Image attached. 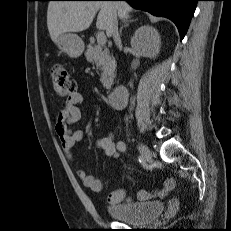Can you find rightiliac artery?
<instances>
[{
    "mask_svg": "<svg viewBox=\"0 0 231 231\" xmlns=\"http://www.w3.org/2000/svg\"><path fill=\"white\" fill-rule=\"evenodd\" d=\"M118 149H119L121 152H125L126 149H127V146H126V144H125L124 142L119 141V142H118Z\"/></svg>",
    "mask_w": 231,
    "mask_h": 231,
    "instance_id": "obj_1",
    "label": "right iliac artery"
}]
</instances>
